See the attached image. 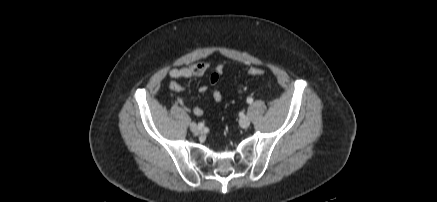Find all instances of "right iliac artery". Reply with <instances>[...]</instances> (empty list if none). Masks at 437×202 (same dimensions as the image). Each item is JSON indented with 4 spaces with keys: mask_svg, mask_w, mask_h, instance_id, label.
I'll return each instance as SVG.
<instances>
[{
    "mask_svg": "<svg viewBox=\"0 0 437 202\" xmlns=\"http://www.w3.org/2000/svg\"><path fill=\"white\" fill-rule=\"evenodd\" d=\"M198 126H200L202 128L204 125H203V123H199Z\"/></svg>",
    "mask_w": 437,
    "mask_h": 202,
    "instance_id": "obj_1",
    "label": "right iliac artery"
}]
</instances>
